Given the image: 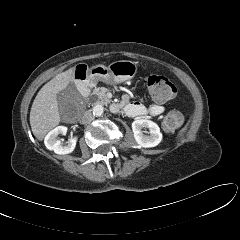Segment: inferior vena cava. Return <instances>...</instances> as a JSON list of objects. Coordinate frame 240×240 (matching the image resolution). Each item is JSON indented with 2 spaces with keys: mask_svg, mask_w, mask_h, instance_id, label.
<instances>
[{
  "mask_svg": "<svg viewBox=\"0 0 240 240\" xmlns=\"http://www.w3.org/2000/svg\"><path fill=\"white\" fill-rule=\"evenodd\" d=\"M93 119H94L93 113L91 112V110H88L83 114L81 122L83 124H89Z\"/></svg>",
  "mask_w": 240,
  "mask_h": 240,
  "instance_id": "1",
  "label": "inferior vena cava"
}]
</instances>
